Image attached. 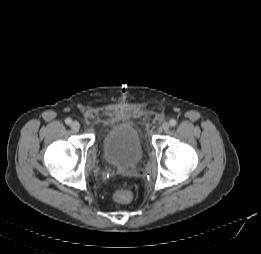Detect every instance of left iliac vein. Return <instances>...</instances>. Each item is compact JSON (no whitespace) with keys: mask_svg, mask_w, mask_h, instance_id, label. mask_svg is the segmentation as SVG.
Wrapping results in <instances>:
<instances>
[{"mask_svg":"<svg viewBox=\"0 0 261 254\" xmlns=\"http://www.w3.org/2000/svg\"><path fill=\"white\" fill-rule=\"evenodd\" d=\"M170 128V124L168 122H163L162 125H161V129L163 131H168Z\"/></svg>","mask_w":261,"mask_h":254,"instance_id":"left-iliac-vein-1","label":"left iliac vein"}]
</instances>
